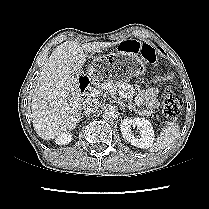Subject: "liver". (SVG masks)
<instances>
[{
    "mask_svg": "<svg viewBox=\"0 0 209 209\" xmlns=\"http://www.w3.org/2000/svg\"><path fill=\"white\" fill-rule=\"evenodd\" d=\"M67 41L57 46L46 61L35 86L31 117L34 130L43 140H52L73 130L80 121L83 99L75 80L83 73L84 52H99L119 44Z\"/></svg>",
    "mask_w": 209,
    "mask_h": 209,
    "instance_id": "liver-1",
    "label": "liver"
}]
</instances>
